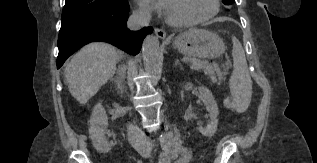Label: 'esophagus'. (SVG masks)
Returning a JSON list of instances; mask_svg holds the SVG:
<instances>
[{
	"label": "esophagus",
	"mask_w": 317,
	"mask_h": 163,
	"mask_svg": "<svg viewBox=\"0 0 317 163\" xmlns=\"http://www.w3.org/2000/svg\"><path fill=\"white\" fill-rule=\"evenodd\" d=\"M154 33L156 34V36L162 40H165L167 37V34L165 32V30L161 29V28H154Z\"/></svg>",
	"instance_id": "34e87169"
}]
</instances>
